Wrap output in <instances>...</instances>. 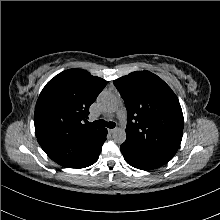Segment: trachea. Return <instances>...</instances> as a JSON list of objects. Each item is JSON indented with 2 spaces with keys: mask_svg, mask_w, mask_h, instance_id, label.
Masks as SVG:
<instances>
[{
  "mask_svg": "<svg viewBox=\"0 0 220 220\" xmlns=\"http://www.w3.org/2000/svg\"><path fill=\"white\" fill-rule=\"evenodd\" d=\"M92 125H95V126H105V127H108V128H114L116 126V124L114 122H107L105 120H97V121H94L93 123H91Z\"/></svg>",
  "mask_w": 220,
  "mask_h": 220,
  "instance_id": "trachea-1",
  "label": "trachea"
}]
</instances>
